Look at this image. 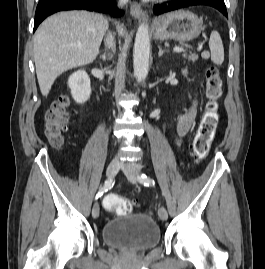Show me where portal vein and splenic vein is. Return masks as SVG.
<instances>
[{
	"mask_svg": "<svg viewBox=\"0 0 265 269\" xmlns=\"http://www.w3.org/2000/svg\"><path fill=\"white\" fill-rule=\"evenodd\" d=\"M173 51L177 52V53H181V52H184V48L183 47H174Z\"/></svg>",
	"mask_w": 265,
	"mask_h": 269,
	"instance_id": "obj_1",
	"label": "portal vein and splenic vein"
}]
</instances>
